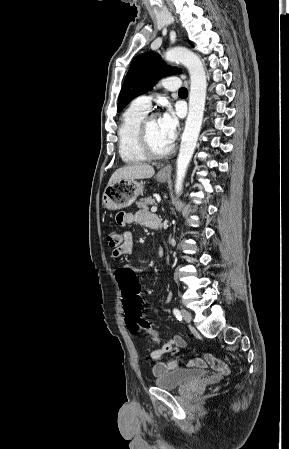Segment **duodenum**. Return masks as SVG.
I'll return each mask as SVG.
<instances>
[{"instance_id":"duodenum-1","label":"duodenum","mask_w":289,"mask_h":449,"mask_svg":"<svg viewBox=\"0 0 289 449\" xmlns=\"http://www.w3.org/2000/svg\"><path fill=\"white\" fill-rule=\"evenodd\" d=\"M159 227H160V225H156V226H155V229H157V230H158V229H159Z\"/></svg>"}]
</instances>
